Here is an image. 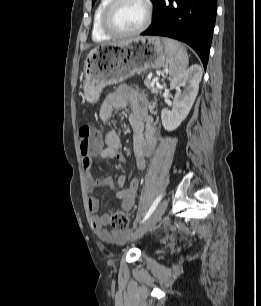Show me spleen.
Returning a JSON list of instances; mask_svg holds the SVG:
<instances>
[{"mask_svg": "<svg viewBox=\"0 0 261 306\" xmlns=\"http://www.w3.org/2000/svg\"><path fill=\"white\" fill-rule=\"evenodd\" d=\"M168 56L169 74L180 75L188 66L189 59L186 49L177 41L169 38H162Z\"/></svg>", "mask_w": 261, "mask_h": 306, "instance_id": "spleen-1", "label": "spleen"}]
</instances>
